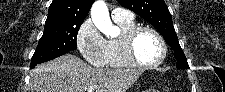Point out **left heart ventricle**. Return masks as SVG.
Listing matches in <instances>:
<instances>
[{
	"label": "left heart ventricle",
	"mask_w": 225,
	"mask_h": 92,
	"mask_svg": "<svg viewBox=\"0 0 225 92\" xmlns=\"http://www.w3.org/2000/svg\"><path fill=\"white\" fill-rule=\"evenodd\" d=\"M161 52V46L152 33L142 31L137 35L134 42V53L141 62L154 63L159 60Z\"/></svg>",
	"instance_id": "1"
}]
</instances>
